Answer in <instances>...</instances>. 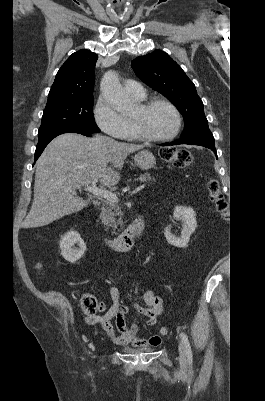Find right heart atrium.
<instances>
[{"label": "right heart atrium", "instance_id": "1", "mask_svg": "<svg viewBox=\"0 0 265 401\" xmlns=\"http://www.w3.org/2000/svg\"><path fill=\"white\" fill-rule=\"evenodd\" d=\"M93 117L105 134L119 138L125 135L129 124L105 97L100 96L93 109Z\"/></svg>", "mask_w": 265, "mask_h": 401}]
</instances>
